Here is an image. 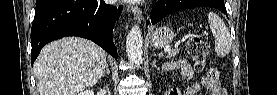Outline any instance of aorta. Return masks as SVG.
<instances>
[{
	"instance_id": "1",
	"label": "aorta",
	"mask_w": 277,
	"mask_h": 95,
	"mask_svg": "<svg viewBox=\"0 0 277 95\" xmlns=\"http://www.w3.org/2000/svg\"><path fill=\"white\" fill-rule=\"evenodd\" d=\"M126 53L132 64L139 65L142 62L143 37L142 31L137 25L133 26L127 35Z\"/></svg>"
}]
</instances>
